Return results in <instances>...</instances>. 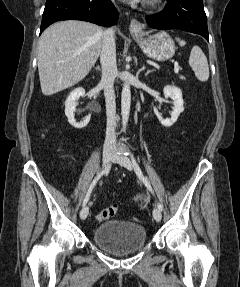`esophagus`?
Returning <instances> with one entry per match:
<instances>
[{
  "instance_id": "34e87169",
  "label": "esophagus",
  "mask_w": 240,
  "mask_h": 287,
  "mask_svg": "<svg viewBox=\"0 0 240 287\" xmlns=\"http://www.w3.org/2000/svg\"><path fill=\"white\" fill-rule=\"evenodd\" d=\"M129 29H130L131 35L137 36L142 33L143 25L138 20L132 19L130 22Z\"/></svg>"
}]
</instances>
